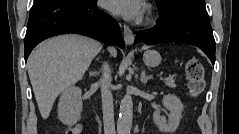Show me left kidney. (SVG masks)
<instances>
[{"instance_id":"5707ae66","label":"left kidney","mask_w":239,"mask_h":134,"mask_svg":"<svg viewBox=\"0 0 239 134\" xmlns=\"http://www.w3.org/2000/svg\"><path fill=\"white\" fill-rule=\"evenodd\" d=\"M163 106L169 110L168 120L165 116H161V110L153 113V120L158 129L164 134H172L176 131L182 118L183 105L180 99L172 94L163 97Z\"/></svg>"}]
</instances>
